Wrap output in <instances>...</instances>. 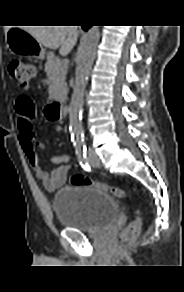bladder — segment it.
Listing matches in <instances>:
<instances>
[{
	"mask_svg": "<svg viewBox=\"0 0 184 292\" xmlns=\"http://www.w3.org/2000/svg\"><path fill=\"white\" fill-rule=\"evenodd\" d=\"M53 211L63 227L86 233L103 231L119 214L118 204L109 194L87 185L61 188L54 197Z\"/></svg>",
	"mask_w": 184,
	"mask_h": 292,
	"instance_id": "obj_1",
	"label": "bladder"
}]
</instances>
